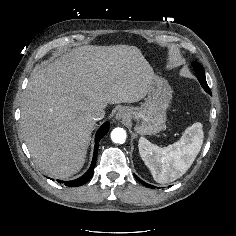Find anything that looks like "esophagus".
I'll return each instance as SVG.
<instances>
[{
	"label": "esophagus",
	"mask_w": 236,
	"mask_h": 236,
	"mask_svg": "<svg viewBox=\"0 0 236 236\" xmlns=\"http://www.w3.org/2000/svg\"><path fill=\"white\" fill-rule=\"evenodd\" d=\"M130 116V111L129 109L127 108H120L117 113H116V116L115 118L118 120V121H121V120H127Z\"/></svg>",
	"instance_id": "obj_1"
}]
</instances>
